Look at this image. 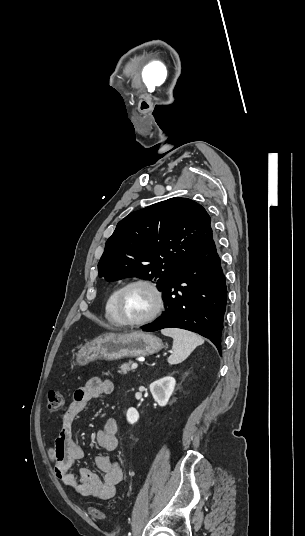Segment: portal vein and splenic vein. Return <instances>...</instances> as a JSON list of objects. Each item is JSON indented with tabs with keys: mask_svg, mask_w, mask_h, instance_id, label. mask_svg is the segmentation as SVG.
Instances as JSON below:
<instances>
[{
	"mask_svg": "<svg viewBox=\"0 0 305 536\" xmlns=\"http://www.w3.org/2000/svg\"><path fill=\"white\" fill-rule=\"evenodd\" d=\"M136 368H138V364H132L131 370H136Z\"/></svg>",
	"mask_w": 305,
	"mask_h": 536,
	"instance_id": "portal-vein-and-splenic-vein-1",
	"label": "portal vein and splenic vein"
}]
</instances>
